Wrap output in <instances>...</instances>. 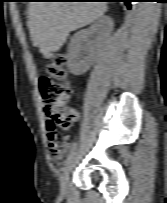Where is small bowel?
I'll use <instances>...</instances> for the list:
<instances>
[{"label": "small bowel", "instance_id": "c3829d8e", "mask_svg": "<svg viewBox=\"0 0 167 203\" xmlns=\"http://www.w3.org/2000/svg\"><path fill=\"white\" fill-rule=\"evenodd\" d=\"M74 113H75V121H77L79 119V114L77 112ZM49 145L55 157L58 159L62 158L71 148L69 142L66 140L58 142L55 139V141L53 143H49Z\"/></svg>", "mask_w": 167, "mask_h": 203}]
</instances>
